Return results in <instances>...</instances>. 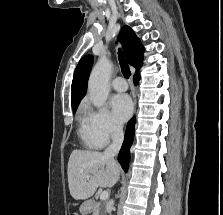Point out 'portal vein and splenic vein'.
<instances>
[{"label": "portal vein and splenic vein", "instance_id": "portal-vein-and-splenic-vein-1", "mask_svg": "<svg viewBox=\"0 0 223 215\" xmlns=\"http://www.w3.org/2000/svg\"><path fill=\"white\" fill-rule=\"evenodd\" d=\"M87 177H90V175H87ZM108 195H109L108 191H101L100 199H107Z\"/></svg>", "mask_w": 223, "mask_h": 215}]
</instances>
